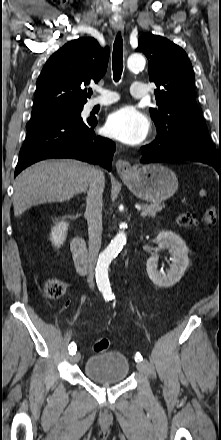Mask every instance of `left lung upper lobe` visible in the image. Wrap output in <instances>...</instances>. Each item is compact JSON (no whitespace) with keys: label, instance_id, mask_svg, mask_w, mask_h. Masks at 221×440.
I'll use <instances>...</instances> for the list:
<instances>
[{"label":"left lung upper lobe","instance_id":"1","mask_svg":"<svg viewBox=\"0 0 221 440\" xmlns=\"http://www.w3.org/2000/svg\"><path fill=\"white\" fill-rule=\"evenodd\" d=\"M137 51L148 58V73L157 108H150L158 135H192L212 144L195 100L194 72L185 51L168 39L143 34Z\"/></svg>","mask_w":221,"mask_h":440}]
</instances>
